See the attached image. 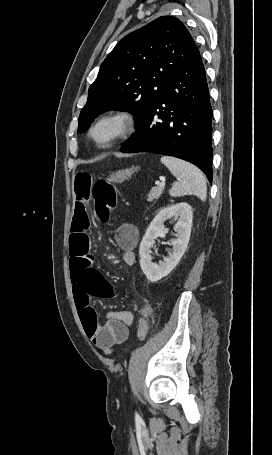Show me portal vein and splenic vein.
<instances>
[{
	"mask_svg": "<svg viewBox=\"0 0 272 455\" xmlns=\"http://www.w3.org/2000/svg\"><path fill=\"white\" fill-rule=\"evenodd\" d=\"M158 186H159V187H164V186H165V182L162 181L161 183H158Z\"/></svg>",
	"mask_w": 272,
	"mask_h": 455,
	"instance_id": "obj_1",
	"label": "portal vein and splenic vein"
}]
</instances>
